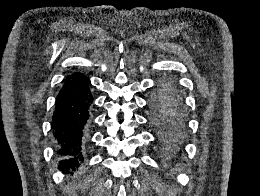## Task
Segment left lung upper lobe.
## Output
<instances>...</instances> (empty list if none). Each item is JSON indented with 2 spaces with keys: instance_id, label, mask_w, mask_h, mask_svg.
Returning a JSON list of instances; mask_svg holds the SVG:
<instances>
[{
  "instance_id": "left-lung-upper-lobe-1",
  "label": "left lung upper lobe",
  "mask_w": 260,
  "mask_h": 196,
  "mask_svg": "<svg viewBox=\"0 0 260 196\" xmlns=\"http://www.w3.org/2000/svg\"><path fill=\"white\" fill-rule=\"evenodd\" d=\"M150 120L157 139L167 149L180 147L188 135V116L174 82L165 80L150 98Z\"/></svg>"
}]
</instances>
